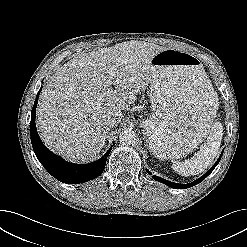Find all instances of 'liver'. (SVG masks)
Masks as SVG:
<instances>
[{"instance_id": "obj_1", "label": "liver", "mask_w": 247, "mask_h": 247, "mask_svg": "<svg viewBox=\"0 0 247 247\" xmlns=\"http://www.w3.org/2000/svg\"><path fill=\"white\" fill-rule=\"evenodd\" d=\"M165 47L128 41L59 67L39 97L36 124L45 144L72 162L96 158L108 134L107 115L121 114L150 83V62ZM115 70V78L109 75ZM116 84L108 94L107 89ZM217 109V108H216Z\"/></svg>"}]
</instances>
